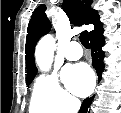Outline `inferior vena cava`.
<instances>
[{
    "label": "inferior vena cava",
    "instance_id": "inferior-vena-cava-1",
    "mask_svg": "<svg viewBox=\"0 0 121 113\" xmlns=\"http://www.w3.org/2000/svg\"><path fill=\"white\" fill-rule=\"evenodd\" d=\"M80 105L81 102L79 100L73 101L70 113H78Z\"/></svg>",
    "mask_w": 121,
    "mask_h": 113
}]
</instances>
